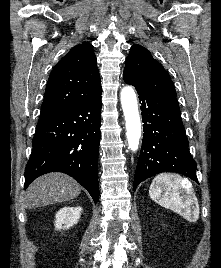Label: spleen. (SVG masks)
<instances>
[{
	"label": "spleen",
	"mask_w": 221,
	"mask_h": 268,
	"mask_svg": "<svg viewBox=\"0 0 221 268\" xmlns=\"http://www.w3.org/2000/svg\"><path fill=\"white\" fill-rule=\"evenodd\" d=\"M149 195L153 201L176 212L189 222H195L199 218L198 200L191 182L186 178L161 173L153 179Z\"/></svg>",
	"instance_id": "spleen-1"
}]
</instances>
